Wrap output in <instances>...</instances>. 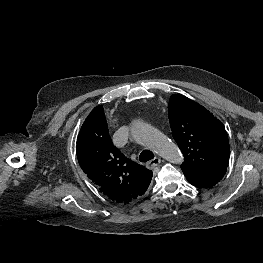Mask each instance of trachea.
<instances>
[{"label": "trachea", "mask_w": 263, "mask_h": 263, "mask_svg": "<svg viewBox=\"0 0 263 263\" xmlns=\"http://www.w3.org/2000/svg\"><path fill=\"white\" fill-rule=\"evenodd\" d=\"M153 158H154V154L150 150H143L139 156V160L141 162H147Z\"/></svg>", "instance_id": "obj_1"}]
</instances>
